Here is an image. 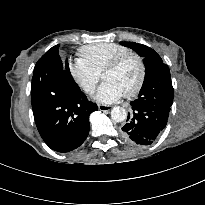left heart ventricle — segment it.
Segmentation results:
<instances>
[{
    "label": "left heart ventricle",
    "mask_w": 205,
    "mask_h": 205,
    "mask_svg": "<svg viewBox=\"0 0 205 205\" xmlns=\"http://www.w3.org/2000/svg\"><path fill=\"white\" fill-rule=\"evenodd\" d=\"M138 75L139 67L136 60L129 59L116 70L106 72L103 79L115 83L125 93L135 85Z\"/></svg>",
    "instance_id": "b2bd125f"
}]
</instances>
